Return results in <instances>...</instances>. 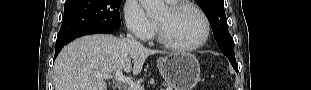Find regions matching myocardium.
<instances>
[{"instance_id": "myocardium-1", "label": "myocardium", "mask_w": 311, "mask_h": 90, "mask_svg": "<svg viewBox=\"0 0 311 90\" xmlns=\"http://www.w3.org/2000/svg\"><path fill=\"white\" fill-rule=\"evenodd\" d=\"M183 8L192 9L193 11H195L200 16V18L203 21L204 34H203L202 38L198 42H196L195 44L187 45V46L177 45L168 39V37L166 36V34L164 32L163 27L161 26V24L158 21H156L155 24H156L157 39L160 42V44H162L164 47H166L170 50H173L176 52L187 53V52L195 51V50L201 48L202 46H204L206 44V42L208 41L209 36H210L211 26H210V21H209L208 17L206 16V14L200 8H198L196 5H194L190 2L181 1V2H177L175 4H171L170 6L167 7L169 13H171V14H174Z\"/></svg>"}]
</instances>
